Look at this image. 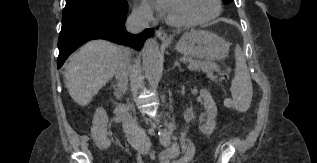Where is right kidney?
Wrapping results in <instances>:
<instances>
[{
	"label": "right kidney",
	"mask_w": 317,
	"mask_h": 163,
	"mask_svg": "<svg viewBox=\"0 0 317 163\" xmlns=\"http://www.w3.org/2000/svg\"><path fill=\"white\" fill-rule=\"evenodd\" d=\"M107 124L108 116L103 108H98L95 112L92 127L91 136L99 149H107L111 142L107 137Z\"/></svg>",
	"instance_id": "obj_1"
}]
</instances>
